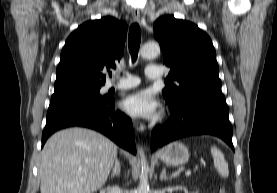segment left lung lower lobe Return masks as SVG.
<instances>
[{"instance_id": "obj_1", "label": "left lung lower lobe", "mask_w": 277, "mask_h": 193, "mask_svg": "<svg viewBox=\"0 0 277 193\" xmlns=\"http://www.w3.org/2000/svg\"><path fill=\"white\" fill-rule=\"evenodd\" d=\"M170 107L172 115L168 121L152 131V150L182 137L201 134L215 135L234 150L229 109L221 89L193 92L181 105Z\"/></svg>"}]
</instances>
